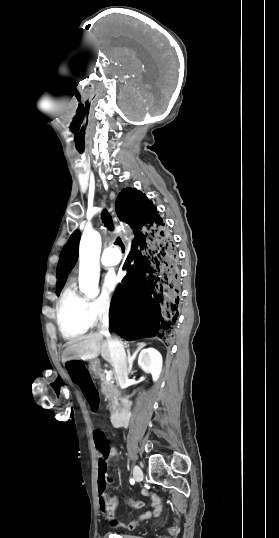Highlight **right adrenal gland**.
Masks as SVG:
<instances>
[{"instance_id": "obj_1", "label": "right adrenal gland", "mask_w": 279, "mask_h": 538, "mask_svg": "<svg viewBox=\"0 0 279 538\" xmlns=\"http://www.w3.org/2000/svg\"><path fill=\"white\" fill-rule=\"evenodd\" d=\"M144 346H146V344H144V342H141V344H138V348H137V350H135L133 356H131V354H130V350H129V348H128V350H127V358H126L128 364H129V370H128V372H131V368H132L133 360H135V358H136V356H137L139 350H141V348H144Z\"/></svg>"}]
</instances>
